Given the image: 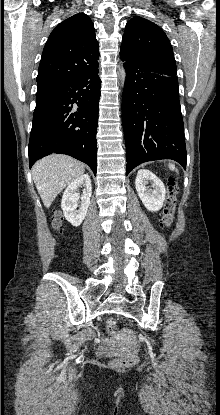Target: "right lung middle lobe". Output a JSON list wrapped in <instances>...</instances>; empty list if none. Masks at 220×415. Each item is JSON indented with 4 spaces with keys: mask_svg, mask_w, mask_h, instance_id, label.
I'll return each instance as SVG.
<instances>
[{
    "mask_svg": "<svg viewBox=\"0 0 220 415\" xmlns=\"http://www.w3.org/2000/svg\"><path fill=\"white\" fill-rule=\"evenodd\" d=\"M52 88V86H42V87H37V95L44 93L48 90H50Z\"/></svg>",
    "mask_w": 220,
    "mask_h": 415,
    "instance_id": "right-lung-middle-lobe-1",
    "label": "right lung middle lobe"
}]
</instances>
